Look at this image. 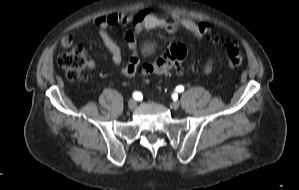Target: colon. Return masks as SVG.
<instances>
[{
  "label": "colon",
  "instance_id": "obj_1",
  "mask_svg": "<svg viewBox=\"0 0 299 190\" xmlns=\"http://www.w3.org/2000/svg\"><path fill=\"white\" fill-rule=\"evenodd\" d=\"M214 41L225 48L229 67L237 68L242 65L243 55L230 39L217 38ZM187 54L188 48L185 44L180 42L172 43L166 50L156 56L151 63L144 65L140 70V74L147 78L152 75H167L172 71L181 72ZM58 62L70 80L79 82L84 78L87 52L84 47L74 45L68 52L59 57Z\"/></svg>",
  "mask_w": 299,
  "mask_h": 190
}]
</instances>
